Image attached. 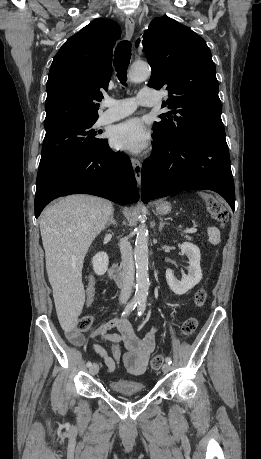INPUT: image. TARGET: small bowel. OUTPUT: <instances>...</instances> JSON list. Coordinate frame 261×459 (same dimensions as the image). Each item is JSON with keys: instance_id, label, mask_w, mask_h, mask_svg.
<instances>
[{"instance_id": "small-bowel-1", "label": "small bowel", "mask_w": 261, "mask_h": 459, "mask_svg": "<svg viewBox=\"0 0 261 459\" xmlns=\"http://www.w3.org/2000/svg\"><path fill=\"white\" fill-rule=\"evenodd\" d=\"M95 296V280L90 278L85 295V305L90 307ZM113 328L117 329L116 333H110ZM156 328L153 327L144 335L139 336L129 320L123 317H114L111 320L100 325L92 334L93 339H103L113 343H122L125 348V353L122 360L125 369L133 375H140L145 372L148 366L149 359L156 347ZM68 340L77 346L84 342V337L76 330L67 332ZM94 352L103 360L109 372H114L120 358V354L110 356L105 348L100 344H93Z\"/></svg>"}]
</instances>
